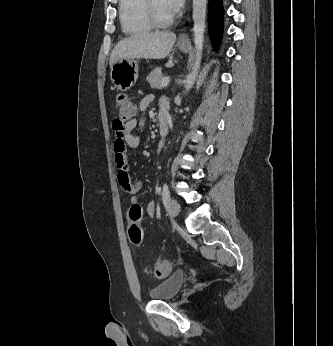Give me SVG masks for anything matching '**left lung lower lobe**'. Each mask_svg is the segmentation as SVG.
I'll list each match as a JSON object with an SVG mask.
<instances>
[{"mask_svg":"<svg viewBox=\"0 0 333 346\" xmlns=\"http://www.w3.org/2000/svg\"><path fill=\"white\" fill-rule=\"evenodd\" d=\"M223 4L222 0L209 1V28L215 47L221 41L223 33Z\"/></svg>","mask_w":333,"mask_h":346,"instance_id":"obj_1","label":"left lung lower lobe"}]
</instances>
